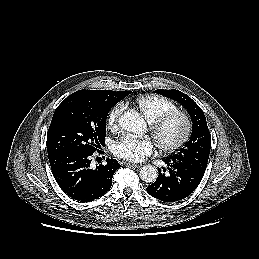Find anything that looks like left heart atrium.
Segmentation results:
<instances>
[{"label":"left heart atrium","instance_id":"left-heart-atrium-1","mask_svg":"<svg viewBox=\"0 0 259 259\" xmlns=\"http://www.w3.org/2000/svg\"><path fill=\"white\" fill-rule=\"evenodd\" d=\"M154 145L149 137H135L125 135L114 143L113 153L123 159L140 162L153 152Z\"/></svg>","mask_w":259,"mask_h":259}]
</instances>
